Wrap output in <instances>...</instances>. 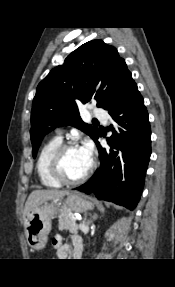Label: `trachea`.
<instances>
[{
  "label": "trachea",
  "mask_w": 175,
  "mask_h": 287,
  "mask_svg": "<svg viewBox=\"0 0 175 287\" xmlns=\"http://www.w3.org/2000/svg\"><path fill=\"white\" fill-rule=\"evenodd\" d=\"M94 122H98V120H94Z\"/></svg>",
  "instance_id": "obj_1"
}]
</instances>
